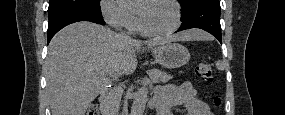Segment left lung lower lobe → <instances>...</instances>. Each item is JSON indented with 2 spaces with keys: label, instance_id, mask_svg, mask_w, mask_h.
I'll return each instance as SVG.
<instances>
[{
  "label": "left lung lower lobe",
  "instance_id": "0a47b994",
  "mask_svg": "<svg viewBox=\"0 0 285 115\" xmlns=\"http://www.w3.org/2000/svg\"><path fill=\"white\" fill-rule=\"evenodd\" d=\"M181 17L182 24L177 32L200 28L214 35L222 43L219 0H198L182 12Z\"/></svg>",
  "mask_w": 285,
  "mask_h": 115
}]
</instances>
